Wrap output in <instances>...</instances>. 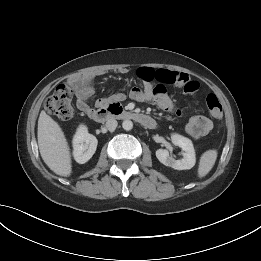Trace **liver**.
<instances>
[{
    "label": "liver",
    "instance_id": "1",
    "mask_svg": "<svg viewBox=\"0 0 261 261\" xmlns=\"http://www.w3.org/2000/svg\"><path fill=\"white\" fill-rule=\"evenodd\" d=\"M37 139L45 164L57 175L70 176L72 164L69 145L59 124L45 111L39 115Z\"/></svg>",
    "mask_w": 261,
    "mask_h": 261
}]
</instances>
